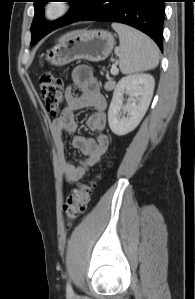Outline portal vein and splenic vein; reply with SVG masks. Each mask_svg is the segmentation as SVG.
<instances>
[{"mask_svg":"<svg viewBox=\"0 0 195 299\" xmlns=\"http://www.w3.org/2000/svg\"><path fill=\"white\" fill-rule=\"evenodd\" d=\"M119 72L118 68L116 67V65H113L111 68V74L112 75H117Z\"/></svg>","mask_w":195,"mask_h":299,"instance_id":"18ae733b","label":"portal vein and splenic vein"}]
</instances>
